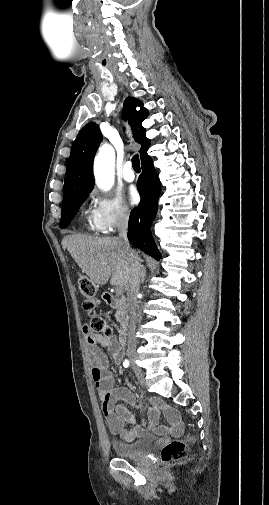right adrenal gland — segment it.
<instances>
[{
  "instance_id": "2a0ac1e0",
  "label": "right adrenal gland",
  "mask_w": 269,
  "mask_h": 505,
  "mask_svg": "<svg viewBox=\"0 0 269 505\" xmlns=\"http://www.w3.org/2000/svg\"><path fill=\"white\" fill-rule=\"evenodd\" d=\"M145 277H146V270H145V267H143V272H142V276H141V282H144Z\"/></svg>"
}]
</instances>
